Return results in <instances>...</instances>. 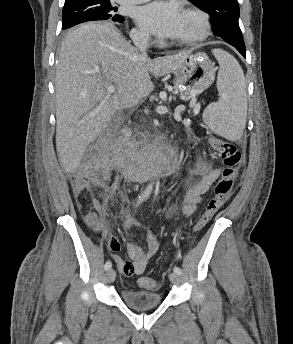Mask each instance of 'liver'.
<instances>
[{
	"instance_id": "liver-1",
	"label": "liver",
	"mask_w": 293,
	"mask_h": 344,
	"mask_svg": "<svg viewBox=\"0 0 293 344\" xmlns=\"http://www.w3.org/2000/svg\"><path fill=\"white\" fill-rule=\"evenodd\" d=\"M190 51L157 59L142 57L112 25L89 23L73 30L61 44L55 76L56 148L62 168L74 173L88 145L112 116L154 89L149 73L173 72ZM114 84V94L106 93Z\"/></svg>"
}]
</instances>
